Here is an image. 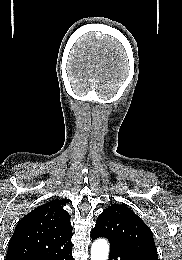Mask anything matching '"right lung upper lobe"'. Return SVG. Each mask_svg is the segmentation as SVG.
I'll return each instance as SVG.
<instances>
[{
  "label": "right lung upper lobe",
  "instance_id": "cb5924a9",
  "mask_svg": "<svg viewBox=\"0 0 182 260\" xmlns=\"http://www.w3.org/2000/svg\"><path fill=\"white\" fill-rule=\"evenodd\" d=\"M65 202L41 205L17 224L5 260H34L72 247L70 215Z\"/></svg>",
  "mask_w": 182,
  "mask_h": 260
}]
</instances>
